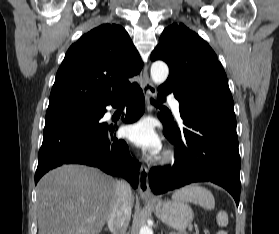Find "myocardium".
I'll return each mask as SVG.
<instances>
[{"instance_id":"obj_1","label":"myocardium","mask_w":279,"mask_h":234,"mask_svg":"<svg viewBox=\"0 0 279 234\" xmlns=\"http://www.w3.org/2000/svg\"><path fill=\"white\" fill-rule=\"evenodd\" d=\"M175 159L174 153L170 150L164 152V154L160 157L159 162L161 164L172 163Z\"/></svg>"}]
</instances>
